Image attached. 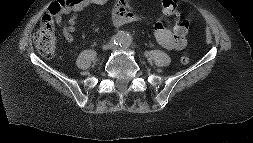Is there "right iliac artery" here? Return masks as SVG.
<instances>
[{
  "label": "right iliac artery",
  "instance_id": "right-iliac-artery-1",
  "mask_svg": "<svg viewBox=\"0 0 253 143\" xmlns=\"http://www.w3.org/2000/svg\"><path fill=\"white\" fill-rule=\"evenodd\" d=\"M113 42L116 45H121V37L120 36L114 37Z\"/></svg>",
  "mask_w": 253,
  "mask_h": 143
}]
</instances>
